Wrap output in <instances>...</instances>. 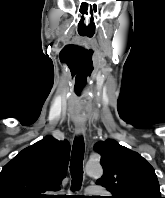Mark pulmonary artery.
Segmentation results:
<instances>
[{"label":"pulmonary artery","instance_id":"e3ab8cb5","mask_svg":"<svg viewBox=\"0 0 165 198\" xmlns=\"http://www.w3.org/2000/svg\"><path fill=\"white\" fill-rule=\"evenodd\" d=\"M99 189H102V187L91 186V187L87 188V191L88 192H93V191H96V190H99Z\"/></svg>","mask_w":165,"mask_h":198}]
</instances>
